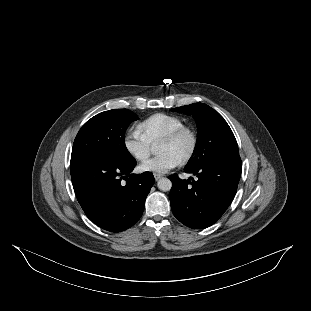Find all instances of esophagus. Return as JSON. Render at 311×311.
Masks as SVG:
<instances>
[{
    "label": "esophagus",
    "mask_w": 311,
    "mask_h": 311,
    "mask_svg": "<svg viewBox=\"0 0 311 311\" xmlns=\"http://www.w3.org/2000/svg\"><path fill=\"white\" fill-rule=\"evenodd\" d=\"M154 178L156 181H158L162 176L160 174L154 173Z\"/></svg>",
    "instance_id": "34e87169"
}]
</instances>
